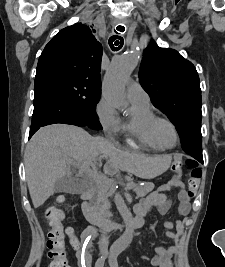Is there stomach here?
<instances>
[{"instance_id":"obj_1","label":"stomach","mask_w":225,"mask_h":267,"mask_svg":"<svg viewBox=\"0 0 225 267\" xmlns=\"http://www.w3.org/2000/svg\"><path fill=\"white\" fill-rule=\"evenodd\" d=\"M170 164V158L167 156L153 158L148 161L145 167L146 178H153L167 170Z\"/></svg>"}]
</instances>
